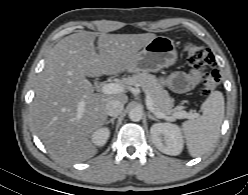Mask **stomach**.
<instances>
[{
    "label": "stomach",
    "instance_id": "obj_1",
    "mask_svg": "<svg viewBox=\"0 0 248 195\" xmlns=\"http://www.w3.org/2000/svg\"><path fill=\"white\" fill-rule=\"evenodd\" d=\"M178 53L174 41L165 36H157L148 42L137 54L129 72H157L174 65Z\"/></svg>",
    "mask_w": 248,
    "mask_h": 195
}]
</instances>
